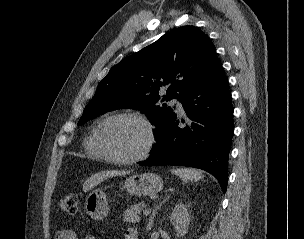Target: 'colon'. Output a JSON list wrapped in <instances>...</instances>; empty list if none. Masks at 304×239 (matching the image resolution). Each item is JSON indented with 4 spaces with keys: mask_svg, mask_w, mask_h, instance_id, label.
<instances>
[{
    "mask_svg": "<svg viewBox=\"0 0 304 239\" xmlns=\"http://www.w3.org/2000/svg\"><path fill=\"white\" fill-rule=\"evenodd\" d=\"M59 208L70 215L77 213L78 211V197L75 194H66L59 199Z\"/></svg>",
    "mask_w": 304,
    "mask_h": 239,
    "instance_id": "colon-1",
    "label": "colon"
}]
</instances>
